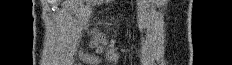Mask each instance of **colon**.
I'll return each instance as SVG.
<instances>
[{"instance_id":"colon-1","label":"colon","mask_w":232,"mask_h":65,"mask_svg":"<svg viewBox=\"0 0 232 65\" xmlns=\"http://www.w3.org/2000/svg\"><path fill=\"white\" fill-rule=\"evenodd\" d=\"M92 36H93V40L95 44H100L103 41V35L97 31V30H93L92 31Z\"/></svg>"}]
</instances>
